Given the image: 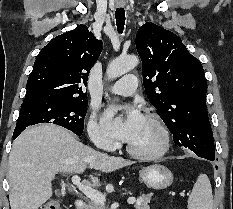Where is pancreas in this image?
<instances>
[{
	"instance_id": "obj_1",
	"label": "pancreas",
	"mask_w": 233,
	"mask_h": 209,
	"mask_svg": "<svg viewBox=\"0 0 233 209\" xmlns=\"http://www.w3.org/2000/svg\"><path fill=\"white\" fill-rule=\"evenodd\" d=\"M152 194L143 195L139 198L138 202L135 204V209H150L149 203L151 201ZM85 209H105L103 204L96 203L94 201H89L86 204Z\"/></svg>"
}]
</instances>
